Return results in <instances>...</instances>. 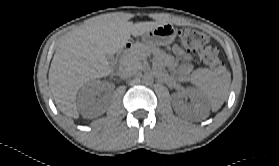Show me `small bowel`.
Here are the masks:
<instances>
[{"label": "small bowel", "instance_id": "c3829d8e", "mask_svg": "<svg viewBox=\"0 0 279 166\" xmlns=\"http://www.w3.org/2000/svg\"><path fill=\"white\" fill-rule=\"evenodd\" d=\"M172 52H173L175 55L184 58L185 60H189V57H188V56L180 49V47L177 46V45L173 46Z\"/></svg>", "mask_w": 279, "mask_h": 166}]
</instances>
